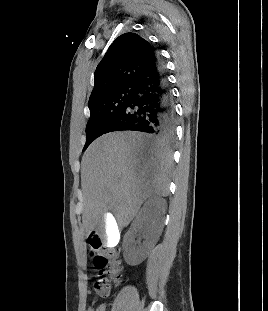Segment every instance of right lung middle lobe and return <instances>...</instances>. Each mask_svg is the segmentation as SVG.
I'll list each match as a JSON object with an SVG mask.
<instances>
[{
    "label": "right lung middle lobe",
    "mask_w": 268,
    "mask_h": 311,
    "mask_svg": "<svg viewBox=\"0 0 268 311\" xmlns=\"http://www.w3.org/2000/svg\"><path fill=\"white\" fill-rule=\"evenodd\" d=\"M133 92V86L120 88L88 105L90 109V118L86 125V143L83 151H85L96 138L108 132L111 124L125 109Z\"/></svg>",
    "instance_id": "dd1d6c3e"
}]
</instances>
